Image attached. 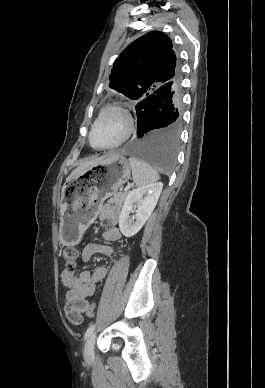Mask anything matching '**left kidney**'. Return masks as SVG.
I'll return each instance as SVG.
<instances>
[{
    "label": "left kidney",
    "instance_id": "obj_1",
    "mask_svg": "<svg viewBox=\"0 0 265 388\" xmlns=\"http://www.w3.org/2000/svg\"><path fill=\"white\" fill-rule=\"evenodd\" d=\"M162 188L163 184L157 182V184L141 186V188L132 190V192L127 194L119 220L120 232H122L123 236L132 238L143 228L160 198ZM133 204H137V210H133ZM131 212H136V214L130 220L129 214Z\"/></svg>",
    "mask_w": 265,
    "mask_h": 388
}]
</instances>
